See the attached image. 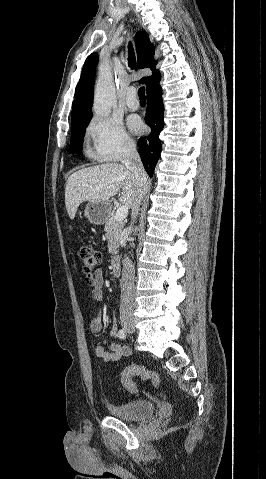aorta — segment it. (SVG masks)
I'll return each instance as SVG.
<instances>
[{
  "label": "aorta",
  "mask_w": 266,
  "mask_h": 479,
  "mask_svg": "<svg viewBox=\"0 0 266 479\" xmlns=\"http://www.w3.org/2000/svg\"><path fill=\"white\" fill-rule=\"evenodd\" d=\"M116 101L115 88L112 82L109 67L102 65L95 87L93 111L98 117H108L111 107Z\"/></svg>",
  "instance_id": "762f6f07"
}]
</instances>
